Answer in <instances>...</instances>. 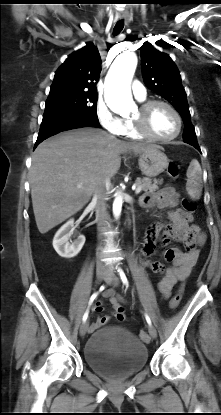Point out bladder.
Wrapping results in <instances>:
<instances>
[{
	"mask_svg": "<svg viewBox=\"0 0 221 415\" xmlns=\"http://www.w3.org/2000/svg\"><path fill=\"white\" fill-rule=\"evenodd\" d=\"M87 365L108 378H124L141 370L148 361L145 344L130 331L108 326L94 332L84 348Z\"/></svg>",
	"mask_w": 221,
	"mask_h": 415,
	"instance_id": "bladder-1",
	"label": "bladder"
}]
</instances>
